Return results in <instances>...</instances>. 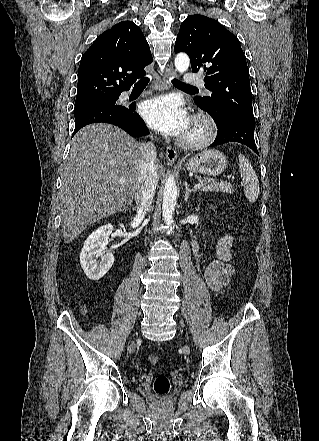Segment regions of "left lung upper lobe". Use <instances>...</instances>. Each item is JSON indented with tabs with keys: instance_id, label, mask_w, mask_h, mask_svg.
I'll return each mask as SVG.
<instances>
[{
	"instance_id": "5c2ea615",
	"label": "left lung upper lobe",
	"mask_w": 319,
	"mask_h": 441,
	"mask_svg": "<svg viewBox=\"0 0 319 441\" xmlns=\"http://www.w3.org/2000/svg\"><path fill=\"white\" fill-rule=\"evenodd\" d=\"M174 51L189 55L193 72H205V87L212 94L194 102L214 121L231 114L255 121L249 71L236 36L216 20L191 15L180 26Z\"/></svg>"
}]
</instances>
